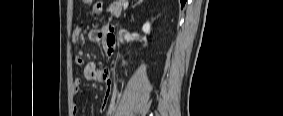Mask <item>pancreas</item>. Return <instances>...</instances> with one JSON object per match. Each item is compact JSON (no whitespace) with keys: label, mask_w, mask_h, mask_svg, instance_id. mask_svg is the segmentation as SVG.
Wrapping results in <instances>:
<instances>
[{"label":"pancreas","mask_w":283,"mask_h":116,"mask_svg":"<svg viewBox=\"0 0 283 116\" xmlns=\"http://www.w3.org/2000/svg\"><path fill=\"white\" fill-rule=\"evenodd\" d=\"M124 2H125V0H117L110 5L108 11L111 13L112 17L113 16L114 17L120 16Z\"/></svg>","instance_id":"cf45deb5"}]
</instances>
